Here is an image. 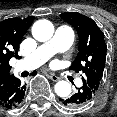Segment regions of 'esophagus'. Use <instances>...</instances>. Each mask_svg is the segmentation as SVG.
Here are the masks:
<instances>
[{
	"label": "esophagus",
	"instance_id": "1",
	"mask_svg": "<svg viewBox=\"0 0 117 117\" xmlns=\"http://www.w3.org/2000/svg\"><path fill=\"white\" fill-rule=\"evenodd\" d=\"M49 77H50V79L53 80V81H58V80L60 79L57 75H55V74H53V73H50V74H49Z\"/></svg>",
	"mask_w": 117,
	"mask_h": 117
}]
</instances>
